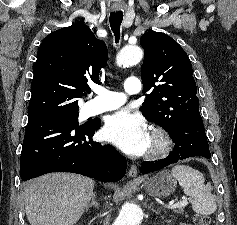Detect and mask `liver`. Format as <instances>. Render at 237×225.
Returning a JSON list of instances; mask_svg holds the SVG:
<instances>
[{
  "instance_id": "6515ba94",
  "label": "liver",
  "mask_w": 237,
  "mask_h": 225,
  "mask_svg": "<svg viewBox=\"0 0 237 225\" xmlns=\"http://www.w3.org/2000/svg\"><path fill=\"white\" fill-rule=\"evenodd\" d=\"M94 190L90 178L51 173L24 184V203L30 225H74Z\"/></svg>"
}]
</instances>
